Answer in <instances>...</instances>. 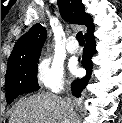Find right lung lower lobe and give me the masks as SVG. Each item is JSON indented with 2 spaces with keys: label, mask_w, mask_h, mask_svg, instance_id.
Wrapping results in <instances>:
<instances>
[{
  "label": "right lung lower lobe",
  "mask_w": 122,
  "mask_h": 123,
  "mask_svg": "<svg viewBox=\"0 0 122 123\" xmlns=\"http://www.w3.org/2000/svg\"><path fill=\"white\" fill-rule=\"evenodd\" d=\"M93 31L85 35L86 45L83 51L82 66L86 69V76L82 79L74 81L71 85L72 94L75 97H80L82 91L86 87L90 75L92 73V56L96 53V44L93 36Z\"/></svg>",
  "instance_id": "98d812e1"
}]
</instances>
